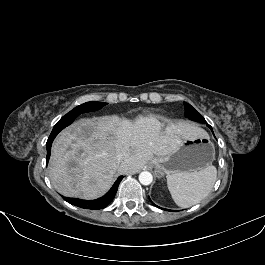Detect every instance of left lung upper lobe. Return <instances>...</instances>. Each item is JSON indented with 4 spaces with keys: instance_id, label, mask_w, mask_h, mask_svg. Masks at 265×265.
I'll return each instance as SVG.
<instances>
[{
    "instance_id": "5c2ea615",
    "label": "left lung upper lobe",
    "mask_w": 265,
    "mask_h": 265,
    "mask_svg": "<svg viewBox=\"0 0 265 265\" xmlns=\"http://www.w3.org/2000/svg\"><path fill=\"white\" fill-rule=\"evenodd\" d=\"M184 106H185V117L197 122H202V123L206 122L203 116L198 111H196L190 104L184 102Z\"/></svg>"
}]
</instances>
